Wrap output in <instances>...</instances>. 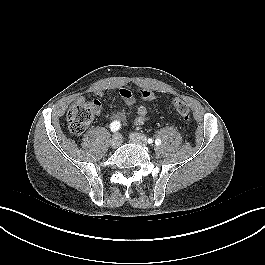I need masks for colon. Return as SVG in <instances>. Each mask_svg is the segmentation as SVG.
Here are the masks:
<instances>
[{
  "mask_svg": "<svg viewBox=\"0 0 265 265\" xmlns=\"http://www.w3.org/2000/svg\"><path fill=\"white\" fill-rule=\"evenodd\" d=\"M140 98L143 101H152L155 95L152 90L143 88L140 89ZM173 106L177 113L184 121H188L190 109L188 104L181 99H174ZM100 109V105L96 100L86 101L72 106L67 113V123L69 131L74 135L82 134L87 126L94 119Z\"/></svg>",
  "mask_w": 265,
  "mask_h": 265,
  "instance_id": "1",
  "label": "colon"
}]
</instances>
